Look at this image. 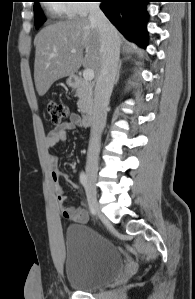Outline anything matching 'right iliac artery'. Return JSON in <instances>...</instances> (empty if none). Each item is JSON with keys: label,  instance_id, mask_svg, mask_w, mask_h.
I'll list each match as a JSON object with an SVG mask.
<instances>
[{"label": "right iliac artery", "instance_id": "right-iliac-artery-1", "mask_svg": "<svg viewBox=\"0 0 195 299\" xmlns=\"http://www.w3.org/2000/svg\"><path fill=\"white\" fill-rule=\"evenodd\" d=\"M80 183L85 187L87 185V176L84 172L80 173Z\"/></svg>", "mask_w": 195, "mask_h": 299}]
</instances>
